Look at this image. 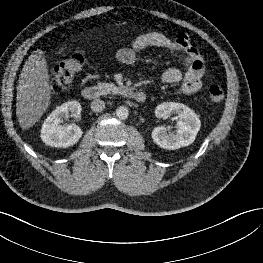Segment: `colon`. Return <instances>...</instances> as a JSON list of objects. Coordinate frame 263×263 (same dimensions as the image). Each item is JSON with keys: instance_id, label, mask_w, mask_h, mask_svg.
<instances>
[{"instance_id": "1", "label": "colon", "mask_w": 263, "mask_h": 263, "mask_svg": "<svg viewBox=\"0 0 263 263\" xmlns=\"http://www.w3.org/2000/svg\"><path fill=\"white\" fill-rule=\"evenodd\" d=\"M84 63L83 51L78 49L65 56L54 66L51 72V88L54 92L67 89ZM224 98V91L218 85H212L208 90V100L212 106L218 105Z\"/></svg>"}]
</instances>
